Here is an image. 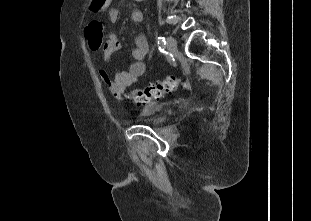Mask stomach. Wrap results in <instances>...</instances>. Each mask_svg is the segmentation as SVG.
Masks as SVG:
<instances>
[{
	"instance_id": "obj_1",
	"label": "stomach",
	"mask_w": 311,
	"mask_h": 221,
	"mask_svg": "<svg viewBox=\"0 0 311 221\" xmlns=\"http://www.w3.org/2000/svg\"><path fill=\"white\" fill-rule=\"evenodd\" d=\"M108 2L109 0H97L96 4L98 12H100V10H105L108 6Z\"/></svg>"
}]
</instances>
